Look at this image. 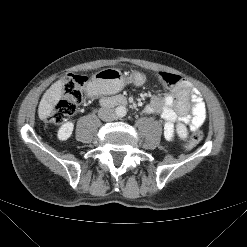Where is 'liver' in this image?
<instances>
[{"label": "liver", "mask_w": 247, "mask_h": 247, "mask_svg": "<svg viewBox=\"0 0 247 247\" xmlns=\"http://www.w3.org/2000/svg\"><path fill=\"white\" fill-rule=\"evenodd\" d=\"M63 89L64 82L58 80L52 84L48 90H46L38 107V115L41 120L50 116L56 104L62 98Z\"/></svg>", "instance_id": "obj_1"}]
</instances>
